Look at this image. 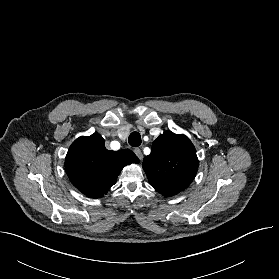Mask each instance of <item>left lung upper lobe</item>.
<instances>
[{
    "instance_id": "left-lung-upper-lobe-1",
    "label": "left lung upper lobe",
    "mask_w": 279,
    "mask_h": 279,
    "mask_svg": "<svg viewBox=\"0 0 279 279\" xmlns=\"http://www.w3.org/2000/svg\"><path fill=\"white\" fill-rule=\"evenodd\" d=\"M150 185L165 197L176 195L193 181L198 169L196 150L185 135L165 131L143 160Z\"/></svg>"
}]
</instances>
